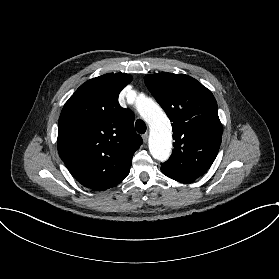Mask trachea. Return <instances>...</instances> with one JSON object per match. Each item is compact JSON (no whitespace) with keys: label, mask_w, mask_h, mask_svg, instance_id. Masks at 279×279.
<instances>
[{"label":"trachea","mask_w":279,"mask_h":279,"mask_svg":"<svg viewBox=\"0 0 279 279\" xmlns=\"http://www.w3.org/2000/svg\"><path fill=\"white\" fill-rule=\"evenodd\" d=\"M135 127L138 133L143 134L146 132V124L142 120H137Z\"/></svg>","instance_id":"3493384b"}]
</instances>
